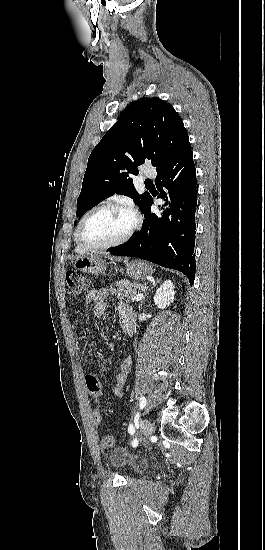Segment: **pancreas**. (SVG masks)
Wrapping results in <instances>:
<instances>
[{
	"label": "pancreas",
	"instance_id": "obj_1",
	"mask_svg": "<svg viewBox=\"0 0 265 550\" xmlns=\"http://www.w3.org/2000/svg\"><path fill=\"white\" fill-rule=\"evenodd\" d=\"M144 289V285L131 283L128 280H121L114 283L110 291L118 300L125 299L126 302H132L134 297Z\"/></svg>",
	"mask_w": 265,
	"mask_h": 550
}]
</instances>
